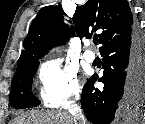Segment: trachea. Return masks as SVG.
Segmentation results:
<instances>
[{"label": "trachea", "mask_w": 145, "mask_h": 124, "mask_svg": "<svg viewBox=\"0 0 145 124\" xmlns=\"http://www.w3.org/2000/svg\"><path fill=\"white\" fill-rule=\"evenodd\" d=\"M93 43H94L95 45H97V44L99 43V40H98V39H93Z\"/></svg>", "instance_id": "obj_1"}]
</instances>
